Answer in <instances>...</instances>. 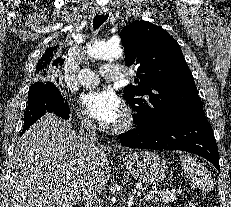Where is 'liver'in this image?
<instances>
[{
  "instance_id": "obj_1",
  "label": "liver",
  "mask_w": 231,
  "mask_h": 207,
  "mask_svg": "<svg viewBox=\"0 0 231 207\" xmlns=\"http://www.w3.org/2000/svg\"><path fill=\"white\" fill-rule=\"evenodd\" d=\"M70 122L46 113L18 140L11 157V207H72L81 200V180L93 168L98 193L111 167L102 148L90 158Z\"/></svg>"
}]
</instances>
